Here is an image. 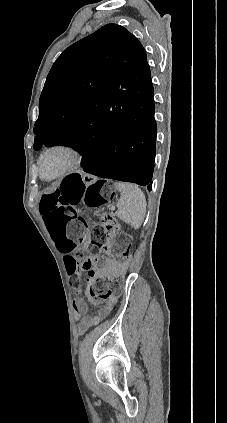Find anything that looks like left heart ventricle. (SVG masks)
<instances>
[{"label": "left heart ventricle", "mask_w": 227, "mask_h": 423, "mask_svg": "<svg viewBox=\"0 0 227 423\" xmlns=\"http://www.w3.org/2000/svg\"><path fill=\"white\" fill-rule=\"evenodd\" d=\"M68 155L64 152L54 151L48 154L43 161V174L46 178L59 173L68 162Z\"/></svg>", "instance_id": "obj_1"}]
</instances>
